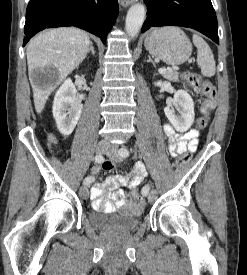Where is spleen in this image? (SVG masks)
<instances>
[{"instance_id":"spleen-1","label":"spleen","mask_w":247,"mask_h":275,"mask_svg":"<svg viewBox=\"0 0 247 275\" xmlns=\"http://www.w3.org/2000/svg\"><path fill=\"white\" fill-rule=\"evenodd\" d=\"M192 39L197 47V63L201 68L202 75L205 77L213 76L216 71V65L209 45L197 34H194Z\"/></svg>"}]
</instances>
